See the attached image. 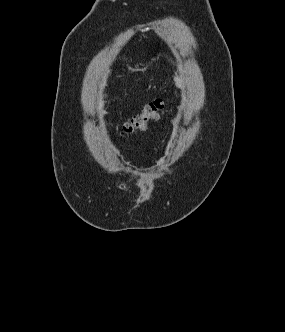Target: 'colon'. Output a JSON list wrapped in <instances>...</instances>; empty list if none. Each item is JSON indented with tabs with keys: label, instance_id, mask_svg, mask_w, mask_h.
<instances>
[{
	"label": "colon",
	"instance_id": "5ec220e1",
	"mask_svg": "<svg viewBox=\"0 0 285 332\" xmlns=\"http://www.w3.org/2000/svg\"><path fill=\"white\" fill-rule=\"evenodd\" d=\"M165 102L163 100H155L147 104L143 110L124 123L122 133L132 135L146 129L147 124L157 120L163 112Z\"/></svg>",
	"mask_w": 285,
	"mask_h": 332
}]
</instances>
